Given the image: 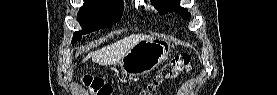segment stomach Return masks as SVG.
Masks as SVG:
<instances>
[{
	"label": "stomach",
	"instance_id": "stomach-1",
	"mask_svg": "<svg viewBox=\"0 0 277 95\" xmlns=\"http://www.w3.org/2000/svg\"><path fill=\"white\" fill-rule=\"evenodd\" d=\"M170 51L169 42L149 37L131 48L118 62V66L126 76H143L159 66Z\"/></svg>",
	"mask_w": 277,
	"mask_h": 95
}]
</instances>
